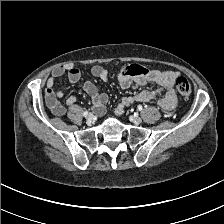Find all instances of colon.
<instances>
[{"mask_svg":"<svg viewBox=\"0 0 224 224\" xmlns=\"http://www.w3.org/2000/svg\"><path fill=\"white\" fill-rule=\"evenodd\" d=\"M148 72L149 71L145 66L138 64L129 65L125 68L124 71V73L129 76H143L146 75ZM175 86L181 97H190L192 90L189 81L185 77H178L175 81Z\"/></svg>","mask_w":224,"mask_h":224,"instance_id":"colon-1","label":"colon"}]
</instances>
